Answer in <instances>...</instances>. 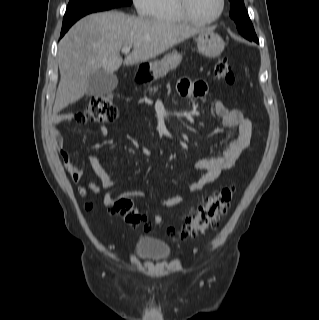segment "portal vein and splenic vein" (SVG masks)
<instances>
[{"label":"portal vein and splenic vein","instance_id":"18ae733b","mask_svg":"<svg viewBox=\"0 0 319 320\" xmlns=\"http://www.w3.org/2000/svg\"><path fill=\"white\" fill-rule=\"evenodd\" d=\"M130 52V47L129 46H125L122 48V53L127 54Z\"/></svg>","mask_w":319,"mask_h":320}]
</instances>
